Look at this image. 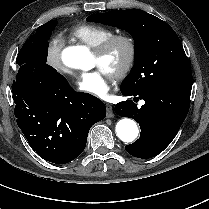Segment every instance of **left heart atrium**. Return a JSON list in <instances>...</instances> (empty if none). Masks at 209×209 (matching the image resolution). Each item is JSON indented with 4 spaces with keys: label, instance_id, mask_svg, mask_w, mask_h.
I'll return each instance as SVG.
<instances>
[{
    "label": "left heart atrium",
    "instance_id": "obj_1",
    "mask_svg": "<svg viewBox=\"0 0 209 209\" xmlns=\"http://www.w3.org/2000/svg\"><path fill=\"white\" fill-rule=\"evenodd\" d=\"M77 87L84 93L97 98H105L112 84L109 76L102 68L80 73L78 76Z\"/></svg>",
    "mask_w": 209,
    "mask_h": 209
}]
</instances>
